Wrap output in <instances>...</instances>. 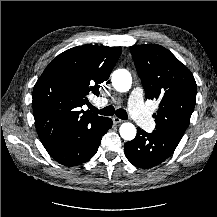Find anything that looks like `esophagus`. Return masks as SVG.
Wrapping results in <instances>:
<instances>
[{
	"label": "esophagus",
	"instance_id": "esophagus-1",
	"mask_svg": "<svg viewBox=\"0 0 217 217\" xmlns=\"http://www.w3.org/2000/svg\"><path fill=\"white\" fill-rule=\"evenodd\" d=\"M112 120H113V123H114V124H119V123H122V122H123L122 119H120V118H118V117H116V116L113 117Z\"/></svg>",
	"mask_w": 217,
	"mask_h": 217
}]
</instances>
